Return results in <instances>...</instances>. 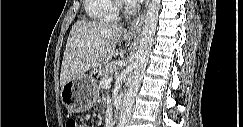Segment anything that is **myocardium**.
Listing matches in <instances>:
<instances>
[{
	"label": "myocardium",
	"instance_id": "f54148a6",
	"mask_svg": "<svg viewBox=\"0 0 243 127\" xmlns=\"http://www.w3.org/2000/svg\"><path fill=\"white\" fill-rule=\"evenodd\" d=\"M118 9L121 10V11H125L128 9V6L122 2H118Z\"/></svg>",
	"mask_w": 243,
	"mask_h": 127
}]
</instances>
